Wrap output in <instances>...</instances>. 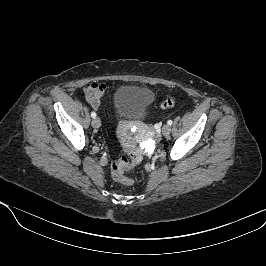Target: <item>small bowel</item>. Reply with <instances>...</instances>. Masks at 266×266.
<instances>
[{
  "label": "small bowel",
  "mask_w": 266,
  "mask_h": 266,
  "mask_svg": "<svg viewBox=\"0 0 266 266\" xmlns=\"http://www.w3.org/2000/svg\"><path fill=\"white\" fill-rule=\"evenodd\" d=\"M106 91V85L101 83H92L85 89V97L92 108L98 109L101 105V99Z\"/></svg>",
  "instance_id": "small-bowel-1"
}]
</instances>
